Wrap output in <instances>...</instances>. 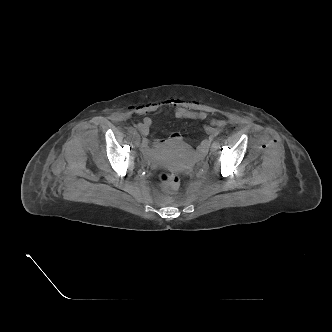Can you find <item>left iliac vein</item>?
Returning <instances> with one entry per match:
<instances>
[{
  "mask_svg": "<svg viewBox=\"0 0 332 332\" xmlns=\"http://www.w3.org/2000/svg\"><path fill=\"white\" fill-rule=\"evenodd\" d=\"M216 150H217V147H216V146L214 145V143H213V145H212V147H211V152H212V153H215Z\"/></svg>",
  "mask_w": 332,
  "mask_h": 332,
  "instance_id": "obj_1",
  "label": "left iliac vein"
}]
</instances>
